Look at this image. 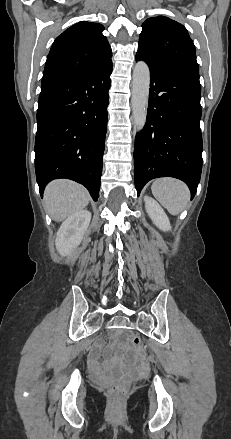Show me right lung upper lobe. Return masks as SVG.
<instances>
[{"mask_svg":"<svg viewBox=\"0 0 231 439\" xmlns=\"http://www.w3.org/2000/svg\"><path fill=\"white\" fill-rule=\"evenodd\" d=\"M99 23L81 21L59 35L50 49L42 86L90 75L111 62V47Z\"/></svg>","mask_w":231,"mask_h":439,"instance_id":"cb5924a9","label":"right lung upper lobe"}]
</instances>
